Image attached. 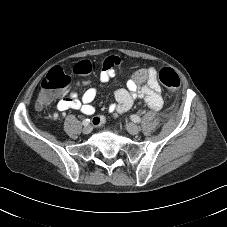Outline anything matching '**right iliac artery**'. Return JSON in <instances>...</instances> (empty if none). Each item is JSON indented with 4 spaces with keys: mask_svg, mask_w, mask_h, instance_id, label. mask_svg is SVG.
I'll list each match as a JSON object with an SVG mask.
<instances>
[{
    "mask_svg": "<svg viewBox=\"0 0 227 227\" xmlns=\"http://www.w3.org/2000/svg\"><path fill=\"white\" fill-rule=\"evenodd\" d=\"M90 123V120L89 119H84L83 120V125L86 126V125H89Z\"/></svg>",
    "mask_w": 227,
    "mask_h": 227,
    "instance_id": "right-iliac-artery-1",
    "label": "right iliac artery"
}]
</instances>
